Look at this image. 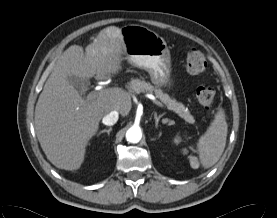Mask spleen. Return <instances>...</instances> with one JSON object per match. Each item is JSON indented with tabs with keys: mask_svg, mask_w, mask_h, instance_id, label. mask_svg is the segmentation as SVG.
<instances>
[{
	"mask_svg": "<svg viewBox=\"0 0 277 218\" xmlns=\"http://www.w3.org/2000/svg\"><path fill=\"white\" fill-rule=\"evenodd\" d=\"M228 125L223 108H219L213 121L198 142L199 159L204 168L212 167L218 162L226 145ZM191 165L198 167L197 158H191Z\"/></svg>",
	"mask_w": 277,
	"mask_h": 218,
	"instance_id": "1",
	"label": "spleen"
}]
</instances>
